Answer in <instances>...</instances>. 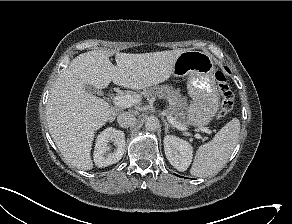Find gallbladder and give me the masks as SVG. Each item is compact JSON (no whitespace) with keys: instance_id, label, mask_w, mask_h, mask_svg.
Here are the masks:
<instances>
[{"instance_id":"obj_1","label":"gallbladder","mask_w":292,"mask_h":224,"mask_svg":"<svg viewBox=\"0 0 292 224\" xmlns=\"http://www.w3.org/2000/svg\"><path fill=\"white\" fill-rule=\"evenodd\" d=\"M84 89L86 90V92L88 93H94L98 96H102L103 92L102 90H98L96 87L89 85V84H84Z\"/></svg>"}]
</instances>
